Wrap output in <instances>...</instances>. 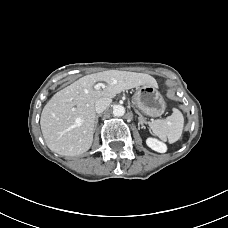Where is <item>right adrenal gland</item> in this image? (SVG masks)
<instances>
[{
	"mask_svg": "<svg viewBox=\"0 0 228 228\" xmlns=\"http://www.w3.org/2000/svg\"><path fill=\"white\" fill-rule=\"evenodd\" d=\"M101 116V114H98L97 116H96V120H95V127L97 126V124H98V119H99V117Z\"/></svg>",
	"mask_w": 228,
	"mask_h": 228,
	"instance_id": "right-adrenal-gland-1",
	"label": "right adrenal gland"
}]
</instances>
